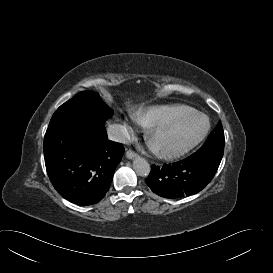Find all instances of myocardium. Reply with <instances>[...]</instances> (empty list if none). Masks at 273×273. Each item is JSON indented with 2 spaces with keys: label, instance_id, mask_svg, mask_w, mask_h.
<instances>
[{
  "label": "myocardium",
  "instance_id": "myocardium-1",
  "mask_svg": "<svg viewBox=\"0 0 273 273\" xmlns=\"http://www.w3.org/2000/svg\"><path fill=\"white\" fill-rule=\"evenodd\" d=\"M193 117H202L205 120V127L196 139H194L188 145H185L184 147L180 149H176V150H166V149L157 148V146L155 145L154 139L158 133L163 132L170 128L177 127ZM209 129H210V121L208 116L202 112L193 110L170 124L154 127L147 134L146 143L148 147L152 150V152L158 157L165 158V159L176 158L186 154L187 152L192 150L194 147H196L199 143H201L204 140V138L207 136Z\"/></svg>",
  "mask_w": 273,
  "mask_h": 273
}]
</instances>
